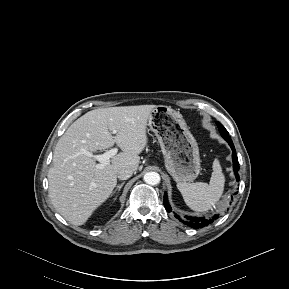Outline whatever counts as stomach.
I'll use <instances>...</instances> for the list:
<instances>
[{"label": "stomach", "mask_w": 289, "mask_h": 289, "mask_svg": "<svg viewBox=\"0 0 289 289\" xmlns=\"http://www.w3.org/2000/svg\"><path fill=\"white\" fill-rule=\"evenodd\" d=\"M150 130L157 136L168 173L178 183L194 180L200 173L197 142L180 112L159 105L148 119Z\"/></svg>", "instance_id": "stomach-1"}]
</instances>
